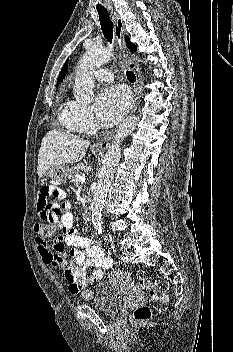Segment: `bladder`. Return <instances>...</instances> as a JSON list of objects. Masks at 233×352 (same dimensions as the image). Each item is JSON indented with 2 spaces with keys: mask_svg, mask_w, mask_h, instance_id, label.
Masks as SVG:
<instances>
[{
  "mask_svg": "<svg viewBox=\"0 0 233 352\" xmlns=\"http://www.w3.org/2000/svg\"><path fill=\"white\" fill-rule=\"evenodd\" d=\"M125 303L123 293L108 282L98 284L94 290L91 306L110 316L116 315Z\"/></svg>",
  "mask_w": 233,
  "mask_h": 352,
  "instance_id": "obj_1",
  "label": "bladder"
}]
</instances>
